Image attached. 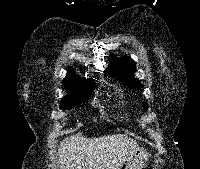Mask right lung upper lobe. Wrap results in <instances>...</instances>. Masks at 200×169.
I'll use <instances>...</instances> for the list:
<instances>
[{"label": "right lung upper lobe", "instance_id": "cb5924a9", "mask_svg": "<svg viewBox=\"0 0 200 169\" xmlns=\"http://www.w3.org/2000/svg\"><path fill=\"white\" fill-rule=\"evenodd\" d=\"M64 85L71 91V93L63 98V100L76 98L86 93H91L95 84L91 79L77 78L74 71L70 69L66 78L64 79Z\"/></svg>", "mask_w": 200, "mask_h": 169}]
</instances>
